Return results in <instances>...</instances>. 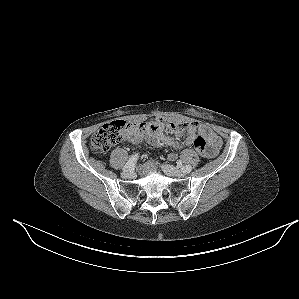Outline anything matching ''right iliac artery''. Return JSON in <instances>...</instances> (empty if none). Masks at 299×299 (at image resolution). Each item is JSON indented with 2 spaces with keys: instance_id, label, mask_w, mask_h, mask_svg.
<instances>
[{
  "instance_id": "obj_1",
  "label": "right iliac artery",
  "mask_w": 299,
  "mask_h": 299,
  "mask_svg": "<svg viewBox=\"0 0 299 299\" xmlns=\"http://www.w3.org/2000/svg\"><path fill=\"white\" fill-rule=\"evenodd\" d=\"M138 159V154L132 155L131 158L128 160V162L123 167L124 171L130 170L135 166V163Z\"/></svg>"
}]
</instances>
